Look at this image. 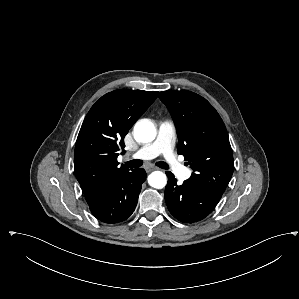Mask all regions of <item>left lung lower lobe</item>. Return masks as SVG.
Instances as JSON below:
<instances>
[{"label": "left lung lower lobe", "mask_w": 299, "mask_h": 299, "mask_svg": "<svg viewBox=\"0 0 299 299\" xmlns=\"http://www.w3.org/2000/svg\"><path fill=\"white\" fill-rule=\"evenodd\" d=\"M168 183L165 187V201L170 213L179 221L194 223L209 215L220 201V196L205 187L185 180L177 185L171 172H166Z\"/></svg>", "instance_id": "obj_1"}]
</instances>
